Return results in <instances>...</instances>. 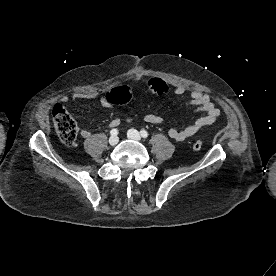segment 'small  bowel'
Here are the masks:
<instances>
[{
  "label": "small bowel",
  "mask_w": 276,
  "mask_h": 276,
  "mask_svg": "<svg viewBox=\"0 0 276 276\" xmlns=\"http://www.w3.org/2000/svg\"><path fill=\"white\" fill-rule=\"evenodd\" d=\"M151 81L147 85V90L153 94H164L168 91L166 87L163 91H157L150 86ZM129 89V88H127ZM173 94L176 96H182L186 93V89L183 86H175L172 90ZM80 99H88V100H99L101 105L106 108L112 107L111 103L104 97H100L96 92L87 91V92H76L72 95V100H80ZM69 98L67 96H63L61 98L62 103H67ZM186 105L195 106L197 110L204 112V115L196 120H194L189 125L184 128H171L168 131V135L171 139L176 142H182L197 132L216 122V120L220 117V110L216 106V104L211 100L210 96L201 91H191L188 96V100L185 103ZM144 121L150 124L159 125L163 123V118L156 114H146L143 117ZM132 119H128L131 121ZM121 123L120 118H114L110 121V127H117ZM81 136L83 138H89L91 136V131L88 129H83L81 131Z\"/></svg>",
  "instance_id": "obj_1"
}]
</instances>
